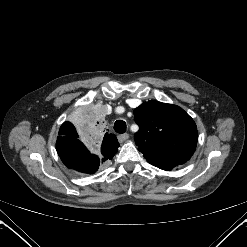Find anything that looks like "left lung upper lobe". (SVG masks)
I'll return each instance as SVG.
<instances>
[{"label":"left lung upper lobe","instance_id":"5c2ea615","mask_svg":"<svg viewBox=\"0 0 247 247\" xmlns=\"http://www.w3.org/2000/svg\"><path fill=\"white\" fill-rule=\"evenodd\" d=\"M139 131L138 150L152 165L179 166L188 161L197 145L193 119L180 107L148 101L134 110Z\"/></svg>","mask_w":247,"mask_h":247}]
</instances>
